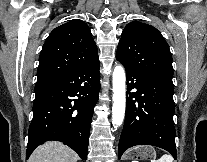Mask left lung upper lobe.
<instances>
[{
  "label": "left lung upper lobe",
  "mask_w": 207,
  "mask_h": 162,
  "mask_svg": "<svg viewBox=\"0 0 207 162\" xmlns=\"http://www.w3.org/2000/svg\"><path fill=\"white\" fill-rule=\"evenodd\" d=\"M116 59L125 68L142 75L172 82L173 67L169 46L151 25L132 21L122 32Z\"/></svg>",
  "instance_id": "5c2ea615"
}]
</instances>
